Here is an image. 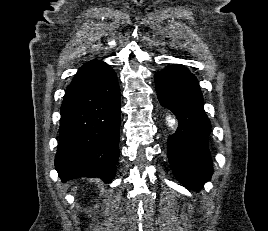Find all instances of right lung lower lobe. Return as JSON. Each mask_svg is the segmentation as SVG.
I'll return each mask as SVG.
<instances>
[{
  "mask_svg": "<svg viewBox=\"0 0 268 231\" xmlns=\"http://www.w3.org/2000/svg\"><path fill=\"white\" fill-rule=\"evenodd\" d=\"M55 166L63 182L79 177L110 183L119 157L120 88L100 62L68 86L61 105Z\"/></svg>",
  "mask_w": 268,
  "mask_h": 231,
  "instance_id": "98d812e1",
  "label": "right lung lower lobe"
}]
</instances>
